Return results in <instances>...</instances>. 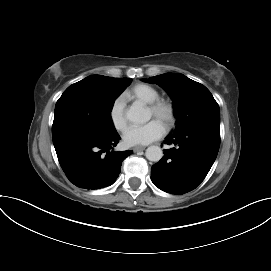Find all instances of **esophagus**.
I'll return each instance as SVG.
<instances>
[{
    "label": "esophagus",
    "instance_id": "1",
    "mask_svg": "<svg viewBox=\"0 0 271 271\" xmlns=\"http://www.w3.org/2000/svg\"><path fill=\"white\" fill-rule=\"evenodd\" d=\"M144 149H145L144 146H136V147L133 148V151L134 152H139V151H143Z\"/></svg>",
    "mask_w": 271,
    "mask_h": 271
}]
</instances>
